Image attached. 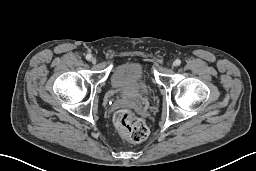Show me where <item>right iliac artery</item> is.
Returning <instances> with one entry per match:
<instances>
[{
	"label": "right iliac artery",
	"instance_id": "1",
	"mask_svg": "<svg viewBox=\"0 0 256 171\" xmlns=\"http://www.w3.org/2000/svg\"><path fill=\"white\" fill-rule=\"evenodd\" d=\"M91 58H92L91 54H87V55H86V59H87V60H91Z\"/></svg>",
	"mask_w": 256,
	"mask_h": 171
}]
</instances>
